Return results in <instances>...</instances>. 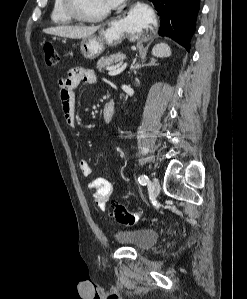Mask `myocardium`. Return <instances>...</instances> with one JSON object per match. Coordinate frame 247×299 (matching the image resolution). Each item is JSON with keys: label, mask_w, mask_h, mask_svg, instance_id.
<instances>
[{"label": "myocardium", "mask_w": 247, "mask_h": 299, "mask_svg": "<svg viewBox=\"0 0 247 299\" xmlns=\"http://www.w3.org/2000/svg\"><path fill=\"white\" fill-rule=\"evenodd\" d=\"M64 9L66 13L74 20L81 22H98L105 19L110 14V8L97 15H86L84 14L79 6L78 0H63Z\"/></svg>", "instance_id": "1"}]
</instances>
